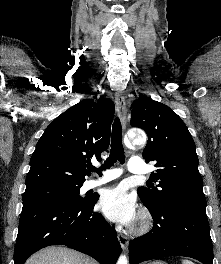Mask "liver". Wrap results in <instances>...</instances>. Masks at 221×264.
I'll use <instances>...</instances> for the list:
<instances>
[{
	"mask_svg": "<svg viewBox=\"0 0 221 264\" xmlns=\"http://www.w3.org/2000/svg\"><path fill=\"white\" fill-rule=\"evenodd\" d=\"M25 264H98L92 258L68 248L53 246L32 255Z\"/></svg>",
	"mask_w": 221,
	"mask_h": 264,
	"instance_id": "liver-1",
	"label": "liver"
}]
</instances>
